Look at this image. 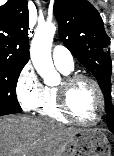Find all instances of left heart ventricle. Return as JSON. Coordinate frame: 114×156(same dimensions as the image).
I'll use <instances>...</instances> for the list:
<instances>
[{
    "label": "left heart ventricle",
    "instance_id": "obj_1",
    "mask_svg": "<svg viewBox=\"0 0 114 156\" xmlns=\"http://www.w3.org/2000/svg\"><path fill=\"white\" fill-rule=\"evenodd\" d=\"M69 105L77 118L83 121L93 120L99 109L98 96L93 85L86 80L75 84L69 95Z\"/></svg>",
    "mask_w": 114,
    "mask_h": 156
}]
</instances>
